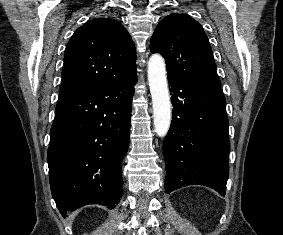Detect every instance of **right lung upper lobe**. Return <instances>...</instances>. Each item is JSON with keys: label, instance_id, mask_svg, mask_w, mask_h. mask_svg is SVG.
<instances>
[{"label": "right lung upper lobe", "instance_id": "obj_1", "mask_svg": "<svg viewBox=\"0 0 283 235\" xmlns=\"http://www.w3.org/2000/svg\"><path fill=\"white\" fill-rule=\"evenodd\" d=\"M135 61L134 43L120 22L89 20L66 46L59 99L124 79L136 72Z\"/></svg>", "mask_w": 283, "mask_h": 235}]
</instances>
